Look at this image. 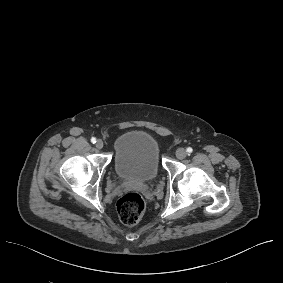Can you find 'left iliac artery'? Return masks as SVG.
<instances>
[{
  "label": "left iliac artery",
  "mask_w": 283,
  "mask_h": 283,
  "mask_svg": "<svg viewBox=\"0 0 283 283\" xmlns=\"http://www.w3.org/2000/svg\"><path fill=\"white\" fill-rule=\"evenodd\" d=\"M193 151V149L191 147L187 148V152L190 154Z\"/></svg>",
  "instance_id": "44dca946"
}]
</instances>
